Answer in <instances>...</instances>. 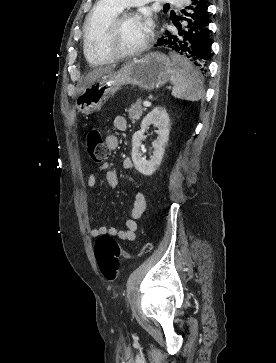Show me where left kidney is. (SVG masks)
<instances>
[{"mask_svg": "<svg viewBox=\"0 0 276 363\" xmlns=\"http://www.w3.org/2000/svg\"><path fill=\"white\" fill-rule=\"evenodd\" d=\"M152 124L158 128V136L152 143L154 153L149 160H146L140 152V146L146 129ZM169 127L170 119L166 109L156 107L143 119L141 129L134 133L132 137V161L136 170L141 174L151 176L160 166L169 139Z\"/></svg>", "mask_w": 276, "mask_h": 363, "instance_id": "1", "label": "left kidney"}]
</instances>
